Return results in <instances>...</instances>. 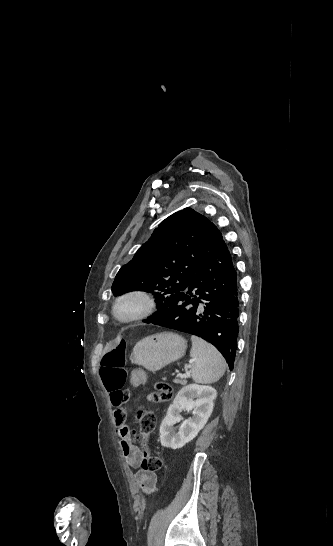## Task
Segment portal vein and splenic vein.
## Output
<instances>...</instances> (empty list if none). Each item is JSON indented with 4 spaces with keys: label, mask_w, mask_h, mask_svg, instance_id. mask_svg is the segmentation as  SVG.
<instances>
[{
    "label": "portal vein and splenic vein",
    "mask_w": 333,
    "mask_h": 546,
    "mask_svg": "<svg viewBox=\"0 0 333 546\" xmlns=\"http://www.w3.org/2000/svg\"><path fill=\"white\" fill-rule=\"evenodd\" d=\"M181 376H182V377H186V374H182Z\"/></svg>",
    "instance_id": "18ae733b"
}]
</instances>
